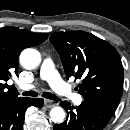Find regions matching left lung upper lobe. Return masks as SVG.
Here are the masks:
<instances>
[{"label": "left lung upper lobe", "mask_w": 130, "mask_h": 130, "mask_svg": "<svg viewBox=\"0 0 130 130\" xmlns=\"http://www.w3.org/2000/svg\"><path fill=\"white\" fill-rule=\"evenodd\" d=\"M50 42L60 55L67 79H80L84 99L116 110L123 92L121 58L108 42L84 31L57 32Z\"/></svg>", "instance_id": "1"}]
</instances>
